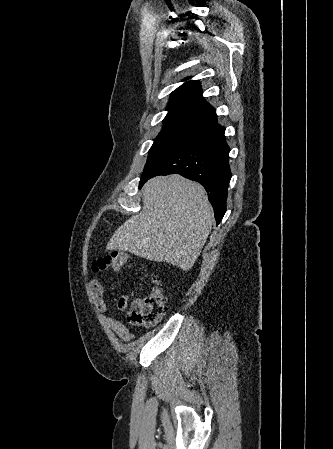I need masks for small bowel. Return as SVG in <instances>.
<instances>
[{
  "label": "small bowel",
  "instance_id": "obj_1",
  "mask_svg": "<svg viewBox=\"0 0 333 449\" xmlns=\"http://www.w3.org/2000/svg\"><path fill=\"white\" fill-rule=\"evenodd\" d=\"M94 303L99 312L102 313L103 319L109 324L114 333L123 341H131L133 339V334L128 330V328L123 324L121 320L114 316L106 315L108 309V304L104 299V287L100 277L93 276L89 282ZM138 299H134L131 303L133 305ZM130 305V300L127 295H122L117 301V309L120 311H125Z\"/></svg>",
  "mask_w": 333,
  "mask_h": 449
}]
</instances>
